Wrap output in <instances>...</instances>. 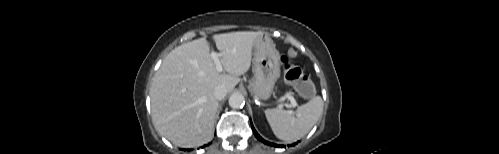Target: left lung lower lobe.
<instances>
[{
    "label": "left lung lower lobe",
    "mask_w": 499,
    "mask_h": 154,
    "mask_svg": "<svg viewBox=\"0 0 499 154\" xmlns=\"http://www.w3.org/2000/svg\"><path fill=\"white\" fill-rule=\"evenodd\" d=\"M251 126H252V129H253L254 135H255V136H256V138H257L258 140H260L261 142H263V143H265V144H267V145H270V146H274V147H283L282 145H277V144H273V143H271V142H267L266 140H264L262 137H260V136L258 135V133H257V132H256V130L254 129V127H253L252 123H251Z\"/></svg>",
    "instance_id": "0a47b994"
}]
</instances>
